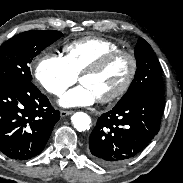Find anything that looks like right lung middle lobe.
<instances>
[{
    "label": "right lung middle lobe",
    "instance_id": "right-lung-middle-lobe-1",
    "mask_svg": "<svg viewBox=\"0 0 183 183\" xmlns=\"http://www.w3.org/2000/svg\"><path fill=\"white\" fill-rule=\"evenodd\" d=\"M63 34L32 30L15 35L0 46V83L32 81L30 63L43 49Z\"/></svg>",
    "mask_w": 183,
    "mask_h": 183
}]
</instances>
